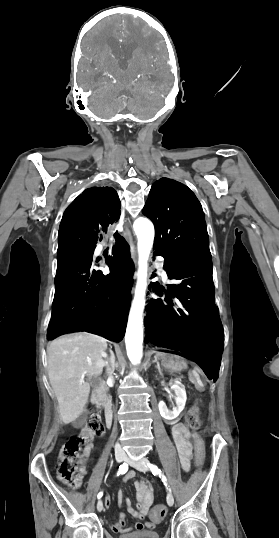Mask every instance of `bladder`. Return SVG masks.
Masks as SVG:
<instances>
[{
    "instance_id": "1",
    "label": "bladder",
    "mask_w": 279,
    "mask_h": 538,
    "mask_svg": "<svg viewBox=\"0 0 279 538\" xmlns=\"http://www.w3.org/2000/svg\"><path fill=\"white\" fill-rule=\"evenodd\" d=\"M122 538H160L159 532H123Z\"/></svg>"
}]
</instances>
